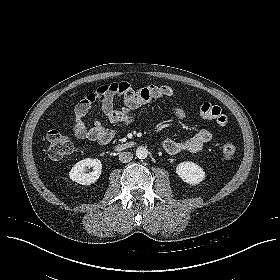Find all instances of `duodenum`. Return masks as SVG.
Wrapping results in <instances>:
<instances>
[{
  "instance_id": "410a0bca",
  "label": "duodenum",
  "mask_w": 280,
  "mask_h": 280,
  "mask_svg": "<svg viewBox=\"0 0 280 280\" xmlns=\"http://www.w3.org/2000/svg\"><path fill=\"white\" fill-rule=\"evenodd\" d=\"M132 146H133L132 143H126V144H123V145L117 147V150H120V151L125 150V149H128V148H131Z\"/></svg>"
}]
</instances>
